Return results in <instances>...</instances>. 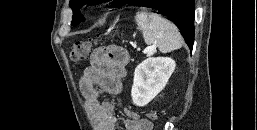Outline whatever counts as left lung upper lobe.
<instances>
[{
  "label": "left lung upper lobe",
  "mask_w": 257,
  "mask_h": 130,
  "mask_svg": "<svg viewBox=\"0 0 257 130\" xmlns=\"http://www.w3.org/2000/svg\"><path fill=\"white\" fill-rule=\"evenodd\" d=\"M136 1L137 0H114L112 7H116V6H120V5H124V4H136ZM94 2H99V1H96V0H70V7L72 8V10L74 12L73 20H72L73 26L84 21V17L80 14V12L78 10L85 4H92Z\"/></svg>",
  "instance_id": "obj_1"
}]
</instances>
